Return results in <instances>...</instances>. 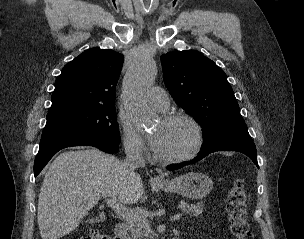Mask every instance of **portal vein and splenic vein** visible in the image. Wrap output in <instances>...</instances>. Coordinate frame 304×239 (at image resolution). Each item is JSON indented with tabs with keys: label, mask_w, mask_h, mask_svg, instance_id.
Here are the masks:
<instances>
[{
	"label": "portal vein and splenic vein",
	"mask_w": 304,
	"mask_h": 239,
	"mask_svg": "<svg viewBox=\"0 0 304 239\" xmlns=\"http://www.w3.org/2000/svg\"><path fill=\"white\" fill-rule=\"evenodd\" d=\"M106 203L108 207H110L116 212L117 215L130 222L136 221L140 215H145V213L139 214L138 212L129 210L126 206L118 202V200L114 197L106 198ZM181 216H182L181 213H177L173 215L170 219L171 221H177L181 218Z\"/></svg>",
	"instance_id": "obj_1"
}]
</instances>
